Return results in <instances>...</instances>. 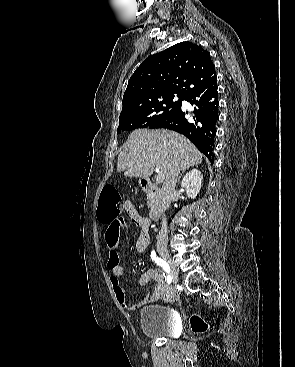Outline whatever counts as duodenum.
Here are the masks:
<instances>
[{"label":"duodenum","instance_id":"obj_1","mask_svg":"<svg viewBox=\"0 0 295 367\" xmlns=\"http://www.w3.org/2000/svg\"><path fill=\"white\" fill-rule=\"evenodd\" d=\"M140 185L142 189L150 194L153 198L152 206L150 209V218L152 220L159 219L165 209L163 194L161 189L154 184L149 178H142L140 180Z\"/></svg>","mask_w":295,"mask_h":367}]
</instances>
